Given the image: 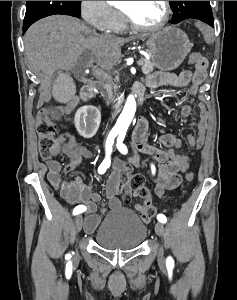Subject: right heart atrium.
<instances>
[{
	"label": "right heart atrium",
	"mask_w": 237,
	"mask_h": 300,
	"mask_svg": "<svg viewBox=\"0 0 237 300\" xmlns=\"http://www.w3.org/2000/svg\"><path fill=\"white\" fill-rule=\"evenodd\" d=\"M81 15L91 27L114 32L119 29L120 14L107 1H81Z\"/></svg>",
	"instance_id": "obj_1"
}]
</instances>
